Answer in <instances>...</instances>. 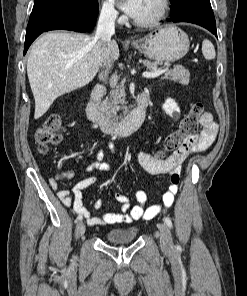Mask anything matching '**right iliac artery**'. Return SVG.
<instances>
[{
    "instance_id": "right-iliac-artery-1",
    "label": "right iliac artery",
    "mask_w": 247,
    "mask_h": 296,
    "mask_svg": "<svg viewBox=\"0 0 247 296\" xmlns=\"http://www.w3.org/2000/svg\"><path fill=\"white\" fill-rule=\"evenodd\" d=\"M82 216L81 215H79L78 217H77V221H81L82 220Z\"/></svg>"
}]
</instances>
